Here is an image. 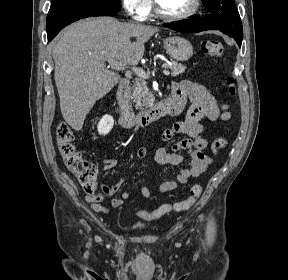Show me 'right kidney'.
Instances as JSON below:
<instances>
[{"label":"right kidney","mask_w":288,"mask_h":280,"mask_svg":"<svg viewBox=\"0 0 288 280\" xmlns=\"http://www.w3.org/2000/svg\"><path fill=\"white\" fill-rule=\"evenodd\" d=\"M113 119L110 116H104L98 124L99 134H107L113 127Z\"/></svg>","instance_id":"1"}]
</instances>
